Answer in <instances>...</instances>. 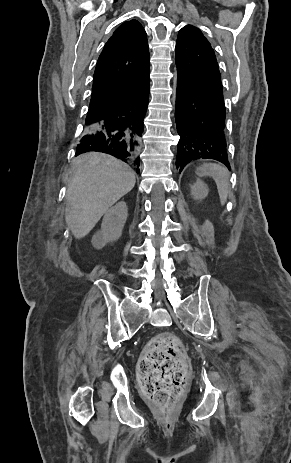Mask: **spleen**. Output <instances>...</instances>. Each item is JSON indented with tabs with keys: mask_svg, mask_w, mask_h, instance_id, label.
Masks as SVG:
<instances>
[{
	"mask_svg": "<svg viewBox=\"0 0 291 463\" xmlns=\"http://www.w3.org/2000/svg\"><path fill=\"white\" fill-rule=\"evenodd\" d=\"M197 175L200 177L210 176L214 179L221 204H225L229 193V172L218 164H204L197 169Z\"/></svg>",
	"mask_w": 291,
	"mask_h": 463,
	"instance_id": "obj_1",
	"label": "spleen"
}]
</instances>
